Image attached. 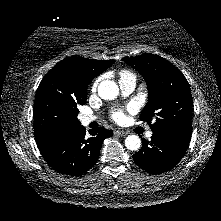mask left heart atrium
<instances>
[{
  "label": "left heart atrium",
  "mask_w": 221,
  "mask_h": 221,
  "mask_svg": "<svg viewBox=\"0 0 221 221\" xmlns=\"http://www.w3.org/2000/svg\"><path fill=\"white\" fill-rule=\"evenodd\" d=\"M128 110L131 111L132 108L129 107ZM111 118L115 122H122L125 119V111L122 110V109H117V110L112 112Z\"/></svg>",
  "instance_id": "left-heart-atrium-1"
}]
</instances>
